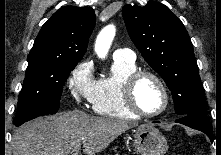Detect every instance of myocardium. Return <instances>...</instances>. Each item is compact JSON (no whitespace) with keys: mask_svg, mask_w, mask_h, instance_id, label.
I'll list each match as a JSON object with an SVG mask.
<instances>
[{"mask_svg":"<svg viewBox=\"0 0 221 155\" xmlns=\"http://www.w3.org/2000/svg\"><path fill=\"white\" fill-rule=\"evenodd\" d=\"M144 77H150L154 79L158 83V85L160 86L163 92L164 104L159 111L152 112V113L145 112L139 107L136 101V96H135L136 87L139 81ZM122 95H123L124 103L126 107L129 109V111L141 117L152 118V117L160 116L166 112L170 103V94H169V90H168L166 83L158 74L149 70H137L133 72L132 74H130L123 83Z\"/></svg>","mask_w":221,"mask_h":155,"instance_id":"obj_1","label":"myocardium"}]
</instances>
